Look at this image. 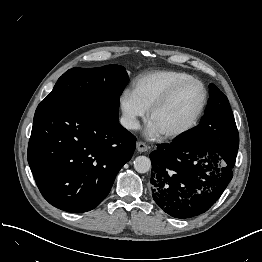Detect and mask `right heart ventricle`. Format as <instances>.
I'll use <instances>...</instances> for the list:
<instances>
[{"mask_svg": "<svg viewBox=\"0 0 262 262\" xmlns=\"http://www.w3.org/2000/svg\"><path fill=\"white\" fill-rule=\"evenodd\" d=\"M192 78L179 71H157L147 74L134 83L133 94L140 105L148 110L177 83Z\"/></svg>", "mask_w": 262, "mask_h": 262, "instance_id": "obj_1", "label": "right heart ventricle"}]
</instances>
